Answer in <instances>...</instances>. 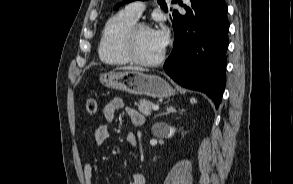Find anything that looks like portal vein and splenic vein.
Returning a JSON list of instances; mask_svg holds the SVG:
<instances>
[{"mask_svg": "<svg viewBox=\"0 0 293 184\" xmlns=\"http://www.w3.org/2000/svg\"><path fill=\"white\" fill-rule=\"evenodd\" d=\"M152 109H153L154 111H157V110H159V106H158V105H153V106H152Z\"/></svg>", "mask_w": 293, "mask_h": 184, "instance_id": "18ae733b", "label": "portal vein and splenic vein"}]
</instances>
